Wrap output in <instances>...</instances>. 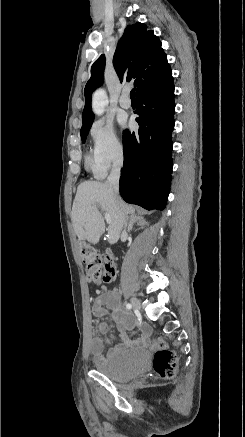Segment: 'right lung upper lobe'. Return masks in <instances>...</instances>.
Here are the masks:
<instances>
[{
	"instance_id": "obj_1",
	"label": "right lung upper lobe",
	"mask_w": 245,
	"mask_h": 437,
	"mask_svg": "<svg viewBox=\"0 0 245 437\" xmlns=\"http://www.w3.org/2000/svg\"><path fill=\"white\" fill-rule=\"evenodd\" d=\"M161 45L153 30L140 22L128 25L117 45L114 68L121 82L135 79L136 96L173 81L171 67ZM104 68L105 56L101 55L92 65L91 77L84 89L83 126L93 122L91 97L93 91L103 83Z\"/></svg>"
}]
</instances>
